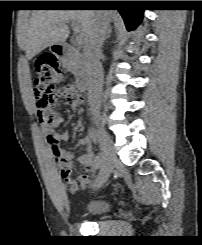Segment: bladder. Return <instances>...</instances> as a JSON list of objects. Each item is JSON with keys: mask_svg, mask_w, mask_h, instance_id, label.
Wrapping results in <instances>:
<instances>
[{"mask_svg": "<svg viewBox=\"0 0 202 245\" xmlns=\"http://www.w3.org/2000/svg\"><path fill=\"white\" fill-rule=\"evenodd\" d=\"M112 203L108 199H98L92 201L85 209L84 212L88 217H101L106 215L112 209Z\"/></svg>", "mask_w": 202, "mask_h": 245, "instance_id": "1", "label": "bladder"}]
</instances>
